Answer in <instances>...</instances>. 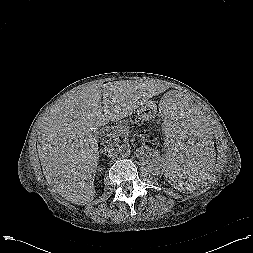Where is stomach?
Masks as SVG:
<instances>
[{"label":"stomach","instance_id":"0dacf381","mask_svg":"<svg viewBox=\"0 0 253 253\" xmlns=\"http://www.w3.org/2000/svg\"><path fill=\"white\" fill-rule=\"evenodd\" d=\"M155 107L151 104H145L137 110L138 118L147 121L155 116Z\"/></svg>","mask_w":253,"mask_h":253}]
</instances>
